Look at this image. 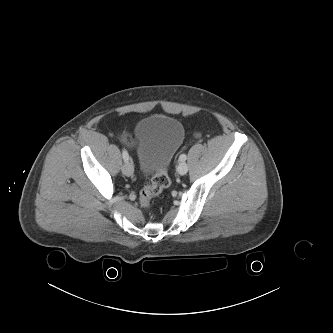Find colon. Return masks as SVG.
I'll return each mask as SVG.
<instances>
[{
	"label": "colon",
	"mask_w": 333,
	"mask_h": 333,
	"mask_svg": "<svg viewBox=\"0 0 333 333\" xmlns=\"http://www.w3.org/2000/svg\"><path fill=\"white\" fill-rule=\"evenodd\" d=\"M121 141L126 146L132 145V138L128 134H124L121 137ZM169 185L170 179L167 171L164 169L157 172L154 175L151 184L144 187L140 192L139 201L141 206L146 210L149 209L152 199L161 194Z\"/></svg>",
	"instance_id": "colon-1"
}]
</instances>
